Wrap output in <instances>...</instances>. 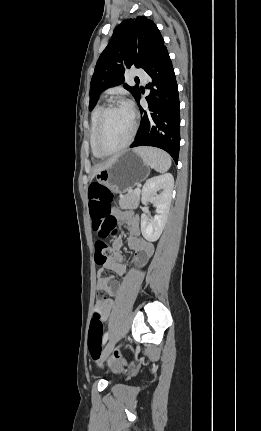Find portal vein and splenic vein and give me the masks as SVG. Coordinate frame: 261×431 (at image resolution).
Listing matches in <instances>:
<instances>
[{
  "instance_id": "18ae733b",
  "label": "portal vein and splenic vein",
  "mask_w": 261,
  "mask_h": 431,
  "mask_svg": "<svg viewBox=\"0 0 261 431\" xmlns=\"http://www.w3.org/2000/svg\"><path fill=\"white\" fill-rule=\"evenodd\" d=\"M134 192H135V193H140V187H137V188L134 190Z\"/></svg>"
}]
</instances>
